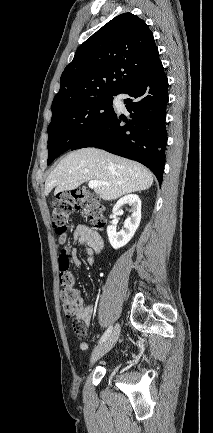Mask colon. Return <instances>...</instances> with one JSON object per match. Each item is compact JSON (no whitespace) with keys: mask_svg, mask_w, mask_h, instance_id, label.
<instances>
[{"mask_svg":"<svg viewBox=\"0 0 213 433\" xmlns=\"http://www.w3.org/2000/svg\"><path fill=\"white\" fill-rule=\"evenodd\" d=\"M75 210L82 211L97 228H102L105 223L104 206L100 199L84 190H73L60 195L53 205L52 225L58 234L67 231L70 217ZM58 264L60 269L61 305L64 314L68 318L76 317L79 310V292L73 287V276L69 272L70 257L66 248H63ZM74 330L78 336L82 334V326L74 324Z\"/></svg>","mask_w":213,"mask_h":433,"instance_id":"5ec220e1","label":"colon"}]
</instances>
